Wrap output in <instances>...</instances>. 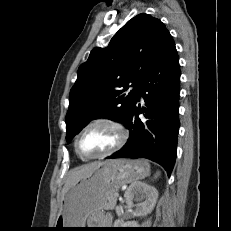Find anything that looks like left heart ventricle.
<instances>
[{"instance_id": "b2bd125f", "label": "left heart ventricle", "mask_w": 231, "mask_h": 231, "mask_svg": "<svg viewBox=\"0 0 231 231\" xmlns=\"http://www.w3.org/2000/svg\"><path fill=\"white\" fill-rule=\"evenodd\" d=\"M118 140L117 131L108 124L89 127L79 139V150L85 156L101 154L112 148Z\"/></svg>"}]
</instances>
